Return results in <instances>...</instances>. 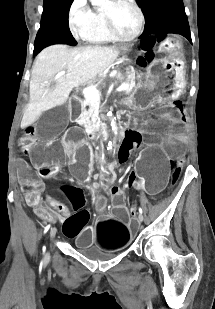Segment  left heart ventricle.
I'll list each match as a JSON object with an SVG mask.
<instances>
[{
	"mask_svg": "<svg viewBox=\"0 0 215 309\" xmlns=\"http://www.w3.org/2000/svg\"><path fill=\"white\" fill-rule=\"evenodd\" d=\"M110 25L115 29H133L134 17L132 12L126 7H118L110 10Z\"/></svg>",
	"mask_w": 215,
	"mask_h": 309,
	"instance_id": "b2bd125f",
	"label": "left heart ventricle"
}]
</instances>
